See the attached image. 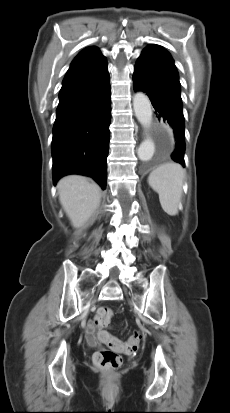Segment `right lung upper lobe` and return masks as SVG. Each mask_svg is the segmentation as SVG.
Segmentation results:
<instances>
[{
  "label": "right lung upper lobe",
  "mask_w": 230,
  "mask_h": 413,
  "mask_svg": "<svg viewBox=\"0 0 230 413\" xmlns=\"http://www.w3.org/2000/svg\"><path fill=\"white\" fill-rule=\"evenodd\" d=\"M107 69V60L95 47L83 49L72 61L62 85L84 80Z\"/></svg>",
  "instance_id": "right-lung-upper-lobe-1"
}]
</instances>
